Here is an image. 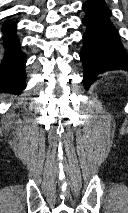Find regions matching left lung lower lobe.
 Segmentation results:
<instances>
[{
  "mask_svg": "<svg viewBox=\"0 0 128 213\" xmlns=\"http://www.w3.org/2000/svg\"><path fill=\"white\" fill-rule=\"evenodd\" d=\"M82 22L87 27L80 58L83 62L85 88L98 74L114 69L128 71V56L122 47L118 32L110 21L111 12L104 0H87Z\"/></svg>",
  "mask_w": 128,
  "mask_h": 213,
  "instance_id": "left-lung-lower-lobe-1",
  "label": "left lung lower lobe"
}]
</instances>
